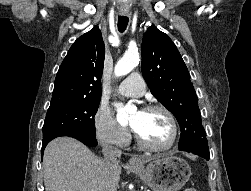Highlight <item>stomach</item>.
Listing matches in <instances>:
<instances>
[{
	"label": "stomach",
	"instance_id": "1",
	"mask_svg": "<svg viewBox=\"0 0 251 191\" xmlns=\"http://www.w3.org/2000/svg\"><path fill=\"white\" fill-rule=\"evenodd\" d=\"M148 165L146 159H142L140 167H132L137 175L153 189V191H178L188 181L191 167L185 159L172 155V153H160L156 157H150Z\"/></svg>",
	"mask_w": 251,
	"mask_h": 191
}]
</instances>
